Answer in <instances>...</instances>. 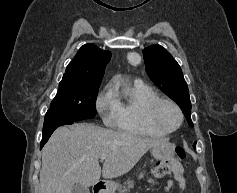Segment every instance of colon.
I'll list each match as a JSON object with an SVG mask.
<instances>
[{
	"mask_svg": "<svg viewBox=\"0 0 237 193\" xmlns=\"http://www.w3.org/2000/svg\"><path fill=\"white\" fill-rule=\"evenodd\" d=\"M176 157L178 159H184L186 157V152L183 148H176ZM172 170V159L161 161L155 167V175L159 178L168 174Z\"/></svg>",
	"mask_w": 237,
	"mask_h": 193,
	"instance_id": "1",
	"label": "colon"
}]
</instances>
